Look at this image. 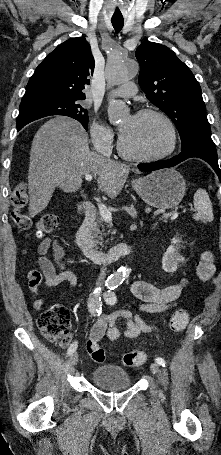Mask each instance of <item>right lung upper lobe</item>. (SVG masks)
Instances as JSON below:
<instances>
[{
	"mask_svg": "<svg viewBox=\"0 0 221 455\" xmlns=\"http://www.w3.org/2000/svg\"><path fill=\"white\" fill-rule=\"evenodd\" d=\"M94 66L90 45L84 37L65 41L36 68L20 106L85 99L83 89L90 83Z\"/></svg>",
	"mask_w": 221,
	"mask_h": 455,
	"instance_id": "1",
	"label": "right lung upper lobe"
}]
</instances>
